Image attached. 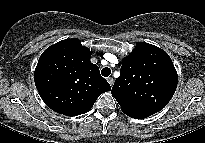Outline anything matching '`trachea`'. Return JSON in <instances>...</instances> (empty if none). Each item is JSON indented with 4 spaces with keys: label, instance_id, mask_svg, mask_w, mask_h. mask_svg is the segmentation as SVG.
I'll list each match as a JSON object with an SVG mask.
<instances>
[{
    "label": "trachea",
    "instance_id": "trachea-1",
    "mask_svg": "<svg viewBox=\"0 0 205 143\" xmlns=\"http://www.w3.org/2000/svg\"><path fill=\"white\" fill-rule=\"evenodd\" d=\"M102 76L108 77L111 74V69L108 67H105L101 71Z\"/></svg>",
    "mask_w": 205,
    "mask_h": 143
}]
</instances>
